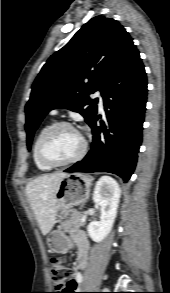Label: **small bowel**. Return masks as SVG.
<instances>
[{"label":"small bowel","instance_id":"1","mask_svg":"<svg viewBox=\"0 0 170 293\" xmlns=\"http://www.w3.org/2000/svg\"><path fill=\"white\" fill-rule=\"evenodd\" d=\"M71 240L77 247V269L84 271L87 267L89 242L85 233L78 231L71 234Z\"/></svg>","mask_w":170,"mask_h":293}]
</instances>
